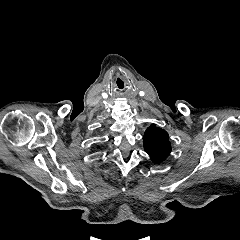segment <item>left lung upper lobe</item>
Returning <instances> with one entry per match:
<instances>
[{"label": "left lung upper lobe", "mask_w": 240, "mask_h": 240, "mask_svg": "<svg viewBox=\"0 0 240 240\" xmlns=\"http://www.w3.org/2000/svg\"><path fill=\"white\" fill-rule=\"evenodd\" d=\"M143 143L146 153L154 164L163 162L170 155L171 144L168 133L154 124L145 131Z\"/></svg>", "instance_id": "left-lung-upper-lobe-1"}]
</instances>
